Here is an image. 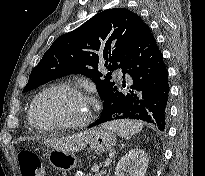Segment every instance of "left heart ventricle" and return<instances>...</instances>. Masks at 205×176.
I'll return each instance as SVG.
<instances>
[{"label":"left heart ventricle","instance_id":"obj_1","mask_svg":"<svg viewBox=\"0 0 205 176\" xmlns=\"http://www.w3.org/2000/svg\"><path fill=\"white\" fill-rule=\"evenodd\" d=\"M85 111L86 105L78 95L57 90L40 99L34 116L40 125H50L78 121Z\"/></svg>","mask_w":205,"mask_h":176}]
</instances>
